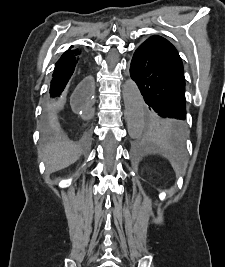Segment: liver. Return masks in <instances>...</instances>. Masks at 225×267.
Wrapping results in <instances>:
<instances>
[{
	"instance_id": "1",
	"label": "liver",
	"mask_w": 225,
	"mask_h": 267,
	"mask_svg": "<svg viewBox=\"0 0 225 267\" xmlns=\"http://www.w3.org/2000/svg\"><path fill=\"white\" fill-rule=\"evenodd\" d=\"M81 153L78 145L63 138L45 146L39 151V157L45 162L47 173H53L75 163Z\"/></svg>"
}]
</instances>
